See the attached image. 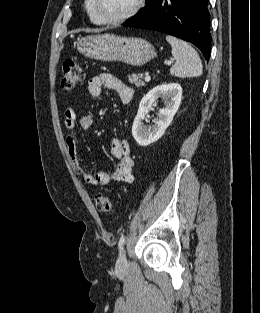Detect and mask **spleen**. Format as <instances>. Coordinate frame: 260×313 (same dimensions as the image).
<instances>
[{"mask_svg":"<svg viewBox=\"0 0 260 313\" xmlns=\"http://www.w3.org/2000/svg\"><path fill=\"white\" fill-rule=\"evenodd\" d=\"M166 40L171 44L172 55L176 59L170 68V74L180 78L201 76L203 67L195 49L187 42L171 35H167Z\"/></svg>","mask_w":260,"mask_h":313,"instance_id":"spleen-1","label":"spleen"}]
</instances>
